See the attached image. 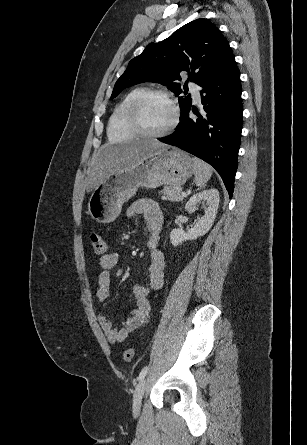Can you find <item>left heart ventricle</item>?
Wrapping results in <instances>:
<instances>
[{"mask_svg":"<svg viewBox=\"0 0 307 445\" xmlns=\"http://www.w3.org/2000/svg\"><path fill=\"white\" fill-rule=\"evenodd\" d=\"M141 116L145 127L149 131L157 133L170 124L173 118V110L167 101L152 98L144 104Z\"/></svg>","mask_w":307,"mask_h":445,"instance_id":"b2bd125f","label":"left heart ventricle"}]
</instances>
